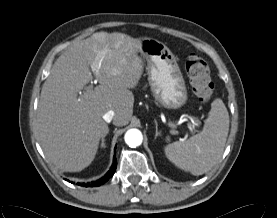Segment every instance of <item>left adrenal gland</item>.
I'll return each mask as SVG.
<instances>
[{"instance_id": "left-adrenal-gland-1", "label": "left adrenal gland", "mask_w": 277, "mask_h": 218, "mask_svg": "<svg viewBox=\"0 0 277 218\" xmlns=\"http://www.w3.org/2000/svg\"><path fill=\"white\" fill-rule=\"evenodd\" d=\"M155 124H156L155 138H157L158 136H160V132L158 131V125L156 121H155Z\"/></svg>"}]
</instances>
